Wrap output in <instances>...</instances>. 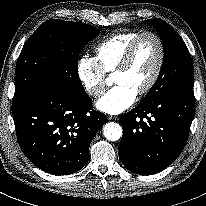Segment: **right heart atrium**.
Returning a JSON list of instances; mask_svg holds the SVG:
<instances>
[{"instance_id":"d8ad5b80","label":"right heart atrium","mask_w":206,"mask_h":206,"mask_svg":"<svg viewBox=\"0 0 206 206\" xmlns=\"http://www.w3.org/2000/svg\"><path fill=\"white\" fill-rule=\"evenodd\" d=\"M77 75L89 96L95 98L104 92L105 72L95 57H81L77 64Z\"/></svg>"}]
</instances>
